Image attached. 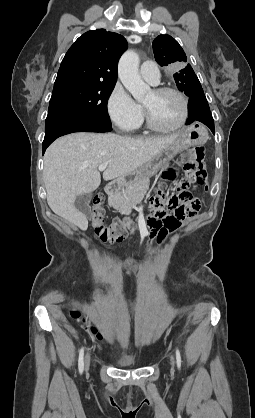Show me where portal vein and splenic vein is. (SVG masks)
Segmentation results:
<instances>
[{
	"label": "portal vein and splenic vein",
	"instance_id": "1",
	"mask_svg": "<svg viewBox=\"0 0 255 418\" xmlns=\"http://www.w3.org/2000/svg\"><path fill=\"white\" fill-rule=\"evenodd\" d=\"M107 166H108V163H103L98 167V169L99 171H104L107 168Z\"/></svg>",
	"mask_w": 255,
	"mask_h": 418
}]
</instances>
